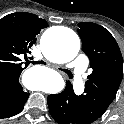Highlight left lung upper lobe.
Here are the masks:
<instances>
[{
  "instance_id": "5c2ea615",
  "label": "left lung upper lobe",
  "mask_w": 124,
  "mask_h": 124,
  "mask_svg": "<svg viewBox=\"0 0 124 124\" xmlns=\"http://www.w3.org/2000/svg\"><path fill=\"white\" fill-rule=\"evenodd\" d=\"M79 27L78 34L83 51L91 61L92 73L78 100L87 121L93 123L116 97L123 77V59L116 40L107 29L91 22H81Z\"/></svg>"
}]
</instances>
